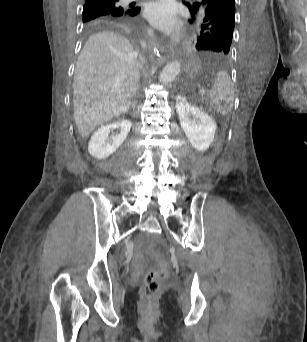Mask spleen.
Wrapping results in <instances>:
<instances>
[{
    "instance_id": "spleen-1",
    "label": "spleen",
    "mask_w": 307,
    "mask_h": 342,
    "mask_svg": "<svg viewBox=\"0 0 307 342\" xmlns=\"http://www.w3.org/2000/svg\"><path fill=\"white\" fill-rule=\"evenodd\" d=\"M211 104H216L215 114H232L233 108L231 104L234 100V88L231 78L227 72L220 70L216 74L209 98H206Z\"/></svg>"
}]
</instances>
